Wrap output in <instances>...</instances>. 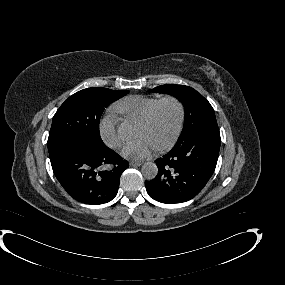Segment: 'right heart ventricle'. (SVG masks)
Wrapping results in <instances>:
<instances>
[{
  "instance_id": "obj_1",
  "label": "right heart ventricle",
  "mask_w": 285,
  "mask_h": 285,
  "mask_svg": "<svg viewBox=\"0 0 285 285\" xmlns=\"http://www.w3.org/2000/svg\"><path fill=\"white\" fill-rule=\"evenodd\" d=\"M160 97L132 96L123 101L118 110L126 121L133 124L144 123L153 113Z\"/></svg>"
}]
</instances>
